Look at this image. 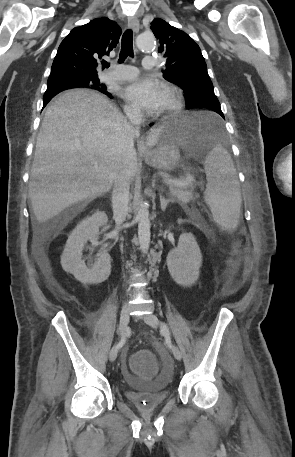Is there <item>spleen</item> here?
Wrapping results in <instances>:
<instances>
[{
	"instance_id": "obj_1",
	"label": "spleen",
	"mask_w": 295,
	"mask_h": 457,
	"mask_svg": "<svg viewBox=\"0 0 295 457\" xmlns=\"http://www.w3.org/2000/svg\"><path fill=\"white\" fill-rule=\"evenodd\" d=\"M204 168L207 177L204 200L214 221L223 230L231 231L238 225L242 203L232 158L218 144L207 154Z\"/></svg>"
}]
</instances>
